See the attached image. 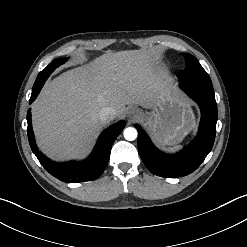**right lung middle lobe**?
Segmentation results:
<instances>
[{"label":"right lung middle lobe","mask_w":247,"mask_h":247,"mask_svg":"<svg viewBox=\"0 0 247 247\" xmlns=\"http://www.w3.org/2000/svg\"><path fill=\"white\" fill-rule=\"evenodd\" d=\"M67 61L66 58H61V59H55L53 60L43 71H41L37 79L34 83L33 87H37L43 83H45L46 79L49 77V75L60 65L65 63Z\"/></svg>","instance_id":"obj_1"}]
</instances>
